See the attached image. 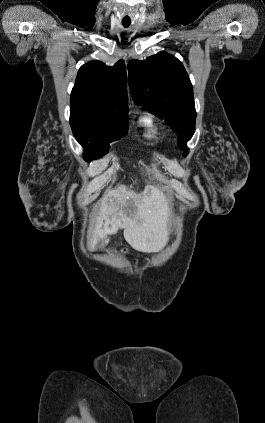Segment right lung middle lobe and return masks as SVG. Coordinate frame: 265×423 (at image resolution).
<instances>
[{
    "label": "right lung middle lobe",
    "instance_id": "right-lung-middle-lobe-1",
    "mask_svg": "<svg viewBox=\"0 0 265 423\" xmlns=\"http://www.w3.org/2000/svg\"><path fill=\"white\" fill-rule=\"evenodd\" d=\"M127 118L109 119L86 111L71 110V128L84 148V159L92 161L100 158L109 151V143L126 136Z\"/></svg>",
    "mask_w": 265,
    "mask_h": 423
}]
</instances>
